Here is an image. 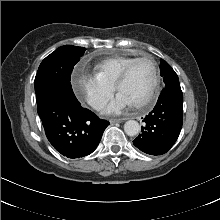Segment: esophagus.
<instances>
[{
	"label": "esophagus",
	"mask_w": 220,
	"mask_h": 220,
	"mask_svg": "<svg viewBox=\"0 0 220 220\" xmlns=\"http://www.w3.org/2000/svg\"><path fill=\"white\" fill-rule=\"evenodd\" d=\"M124 120H126L125 118H120V119H110L109 122L111 124H114V123H121L123 122Z\"/></svg>",
	"instance_id": "1"
}]
</instances>
